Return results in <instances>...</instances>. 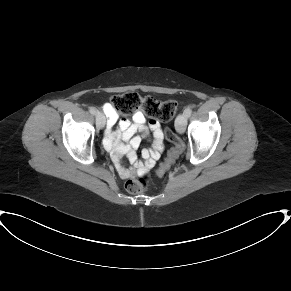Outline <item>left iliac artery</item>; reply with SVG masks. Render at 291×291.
<instances>
[{
    "mask_svg": "<svg viewBox=\"0 0 291 291\" xmlns=\"http://www.w3.org/2000/svg\"><path fill=\"white\" fill-rule=\"evenodd\" d=\"M184 113L187 117H189L192 113V108L190 106L186 107Z\"/></svg>",
    "mask_w": 291,
    "mask_h": 291,
    "instance_id": "1",
    "label": "left iliac artery"
}]
</instances>
